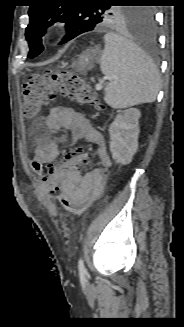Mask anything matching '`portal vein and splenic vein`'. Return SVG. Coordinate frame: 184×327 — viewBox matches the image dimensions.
<instances>
[{
  "mask_svg": "<svg viewBox=\"0 0 184 327\" xmlns=\"http://www.w3.org/2000/svg\"><path fill=\"white\" fill-rule=\"evenodd\" d=\"M103 79L105 80V79H107V77H104ZM101 89H102V83L97 84V85H96V90L99 91V90H101Z\"/></svg>",
  "mask_w": 184,
  "mask_h": 327,
  "instance_id": "1",
  "label": "portal vein and splenic vein"
}]
</instances>
